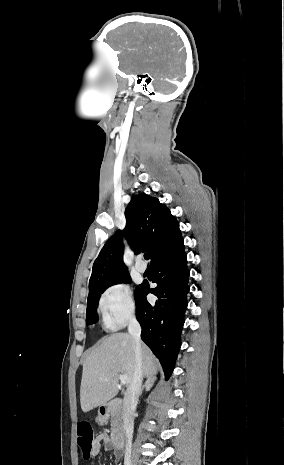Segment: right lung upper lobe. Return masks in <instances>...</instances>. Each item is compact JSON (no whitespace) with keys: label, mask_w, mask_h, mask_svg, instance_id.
<instances>
[{"label":"right lung upper lobe","mask_w":284,"mask_h":465,"mask_svg":"<svg viewBox=\"0 0 284 465\" xmlns=\"http://www.w3.org/2000/svg\"><path fill=\"white\" fill-rule=\"evenodd\" d=\"M126 226L105 243L92 268L89 295L108 284L129 276L123 263V234L135 254L148 252L151 261L179 238V223L170 210L157 198L147 194L132 197L125 209Z\"/></svg>","instance_id":"cb5924a9"}]
</instances>
